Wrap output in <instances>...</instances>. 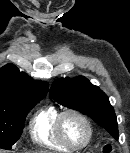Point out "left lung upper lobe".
<instances>
[{
    "label": "left lung upper lobe",
    "instance_id": "5c2ea615",
    "mask_svg": "<svg viewBox=\"0 0 130 153\" xmlns=\"http://www.w3.org/2000/svg\"><path fill=\"white\" fill-rule=\"evenodd\" d=\"M50 94L59 104L86 114L118 139L116 114L108 97L85 77L59 78L52 84Z\"/></svg>",
    "mask_w": 130,
    "mask_h": 153
}]
</instances>
